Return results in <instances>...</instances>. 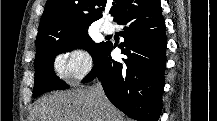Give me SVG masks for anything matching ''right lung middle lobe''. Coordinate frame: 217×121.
Segmentation results:
<instances>
[{"mask_svg":"<svg viewBox=\"0 0 217 121\" xmlns=\"http://www.w3.org/2000/svg\"><path fill=\"white\" fill-rule=\"evenodd\" d=\"M105 44V42L96 44L88 35V28H85L62 39L37 45L33 97L48 91L69 88L53 71V63L57 54L82 48L91 54L95 64Z\"/></svg>","mask_w":217,"mask_h":121,"instance_id":"1","label":"right lung middle lobe"}]
</instances>
